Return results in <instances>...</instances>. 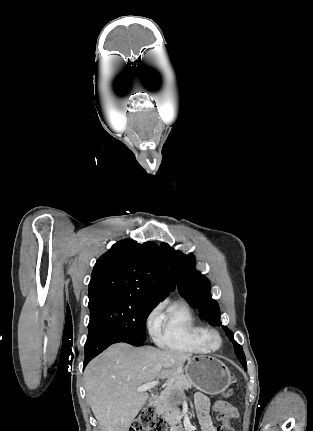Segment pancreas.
I'll return each mask as SVG.
<instances>
[{
	"mask_svg": "<svg viewBox=\"0 0 313 431\" xmlns=\"http://www.w3.org/2000/svg\"><path fill=\"white\" fill-rule=\"evenodd\" d=\"M192 387L193 382L181 373L171 380L156 400L155 407L157 413L161 414L173 429H176V425L181 423L180 409L176 406L175 395L177 393L183 394L184 390Z\"/></svg>",
	"mask_w": 313,
	"mask_h": 431,
	"instance_id": "pancreas-1",
	"label": "pancreas"
}]
</instances>
